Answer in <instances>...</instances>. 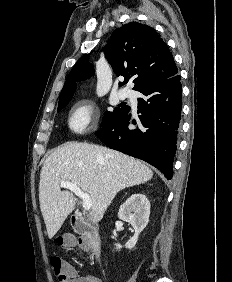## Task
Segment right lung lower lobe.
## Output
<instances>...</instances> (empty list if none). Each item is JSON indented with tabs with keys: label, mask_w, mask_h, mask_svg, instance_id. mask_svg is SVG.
Instances as JSON below:
<instances>
[{
	"label": "right lung lower lobe",
	"mask_w": 232,
	"mask_h": 282,
	"mask_svg": "<svg viewBox=\"0 0 232 282\" xmlns=\"http://www.w3.org/2000/svg\"><path fill=\"white\" fill-rule=\"evenodd\" d=\"M137 91L139 122L128 128L130 107L96 132L109 148L144 160L158 168L170 180L181 119L182 86L180 75L147 83Z\"/></svg>",
	"instance_id": "1"
}]
</instances>
